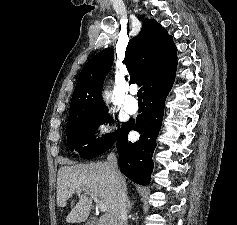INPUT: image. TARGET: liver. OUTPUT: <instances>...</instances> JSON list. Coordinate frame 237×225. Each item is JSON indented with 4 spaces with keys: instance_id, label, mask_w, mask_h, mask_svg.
I'll use <instances>...</instances> for the list:
<instances>
[{
    "instance_id": "liver-1",
    "label": "liver",
    "mask_w": 237,
    "mask_h": 225,
    "mask_svg": "<svg viewBox=\"0 0 237 225\" xmlns=\"http://www.w3.org/2000/svg\"><path fill=\"white\" fill-rule=\"evenodd\" d=\"M123 186L126 187L124 177ZM116 187V180L107 162L62 166L57 175V204L65 207L77 190L79 202L66 216V222H85L92 209V199L87 196L89 191L97 195L107 207L97 225H118ZM79 188L86 193L80 194Z\"/></svg>"
}]
</instances>
